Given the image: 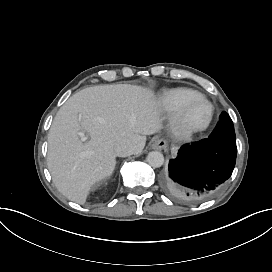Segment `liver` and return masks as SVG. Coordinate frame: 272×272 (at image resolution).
Instances as JSON below:
<instances>
[{
    "label": "liver",
    "mask_w": 272,
    "mask_h": 272,
    "mask_svg": "<svg viewBox=\"0 0 272 272\" xmlns=\"http://www.w3.org/2000/svg\"><path fill=\"white\" fill-rule=\"evenodd\" d=\"M161 128L154 93L147 88L115 84L80 90L60 107L49 131L47 165L55 186L84 204L91 186L112 175L118 142L128 139L140 153L146 135ZM79 131L90 139L83 142Z\"/></svg>",
    "instance_id": "obj_1"
}]
</instances>
